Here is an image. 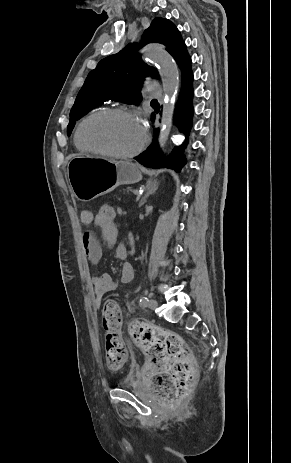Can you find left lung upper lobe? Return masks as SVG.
<instances>
[{
  "instance_id": "obj_1",
  "label": "left lung upper lobe",
  "mask_w": 291,
  "mask_h": 463,
  "mask_svg": "<svg viewBox=\"0 0 291 463\" xmlns=\"http://www.w3.org/2000/svg\"><path fill=\"white\" fill-rule=\"evenodd\" d=\"M150 43L165 45L181 68L182 75L191 70V58L179 30L169 20L155 18L145 30L139 44H128L117 54L102 59L97 67L89 72L70 111L68 135L78 119L105 101L130 104H138L141 101L140 90L144 78L159 77L158 71L145 64L137 52Z\"/></svg>"
}]
</instances>
